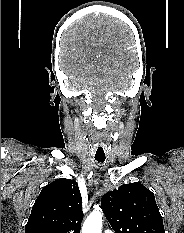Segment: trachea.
<instances>
[{"instance_id":"3493384b","label":"trachea","mask_w":184,"mask_h":233,"mask_svg":"<svg viewBox=\"0 0 184 233\" xmlns=\"http://www.w3.org/2000/svg\"><path fill=\"white\" fill-rule=\"evenodd\" d=\"M94 155H95V160L98 163H104L106 159V151L104 146H102L101 144L96 145L94 150Z\"/></svg>"}]
</instances>
